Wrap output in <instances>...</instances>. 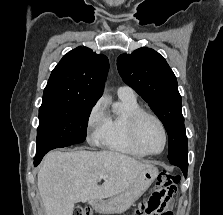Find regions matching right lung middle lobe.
<instances>
[{"instance_id":"dd1d6c3e","label":"right lung middle lobe","mask_w":223,"mask_h":215,"mask_svg":"<svg viewBox=\"0 0 223 215\" xmlns=\"http://www.w3.org/2000/svg\"><path fill=\"white\" fill-rule=\"evenodd\" d=\"M94 105L43 100L39 108L36 154L84 142Z\"/></svg>"}]
</instances>
